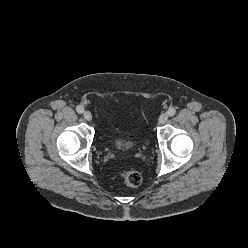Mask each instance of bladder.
I'll return each mask as SVG.
<instances>
[{"instance_id": "bladder-1", "label": "bladder", "mask_w": 248, "mask_h": 248, "mask_svg": "<svg viewBox=\"0 0 248 248\" xmlns=\"http://www.w3.org/2000/svg\"><path fill=\"white\" fill-rule=\"evenodd\" d=\"M133 147V142L131 140H118L116 142V148L123 151H128Z\"/></svg>"}]
</instances>
